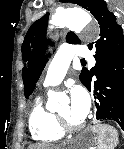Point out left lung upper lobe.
I'll return each mask as SVG.
<instances>
[{"label":"left lung upper lobe","instance_id":"1","mask_svg":"<svg viewBox=\"0 0 124 149\" xmlns=\"http://www.w3.org/2000/svg\"><path fill=\"white\" fill-rule=\"evenodd\" d=\"M69 2L77 4L90 11L98 21L100 34L97 41L88 45L89 49L95 52L94 58L96 64L112 55L124 50V34L122 27L117 24L115 15L107 8L103 0H70ZM49 13L37 20L28 30L22 44V58L27 62L22 70L25 96L33 92L35 83L40 77L45 64L48 60L43 55L45 46L48 43L46 39V28L48 25ZM66 42L70 44H80V39L73 32L66 35ZM95 67L90 71L83 68L80 74V80L86 87L90 84L94 75Z\"/></svg>","mask_w":124,"mask_h":149}]
</instances>
